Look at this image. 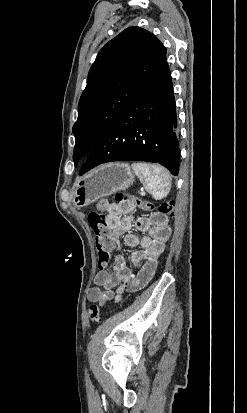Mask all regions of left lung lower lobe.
Segmentation results:
<instances>
[{
  "mask_svg": "<svg viewBox=\"0 0 247 413\" xmlns=\"http://www.w3.org/2000/svg\"><path fill=\"white\" fill-rule=\"evenodd\" d=\"M179 156L175 99L165 60L89 152L80 175L106 162L147 161L177 176Z\"/></svg>",
  "mask_w": 247,
  "mask_h": 413,
  "instance_id": "1",
  "label": "left lung lower lobe"
}]
</instances>
